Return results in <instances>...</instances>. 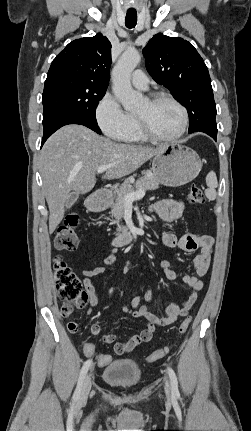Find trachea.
Returning a JSON list of instances; mask_svg holds the SVG:
<instances>
[{
	"label": "trachea",
	"instance_id": "obj_1",
	"mask_svg": "<svg viewBox=\"0 0 251 431\" xmlns=\"http://www.w3.org/2000/svg\"><path fill=\"white\" fill-rule=\"evenodd\" d=\"M137 24V14L127 13L125 17V25L127 28H134Z\"/></svg>",
	"mask_w": 251,
	"mask_h": 431
}]
</instances>
